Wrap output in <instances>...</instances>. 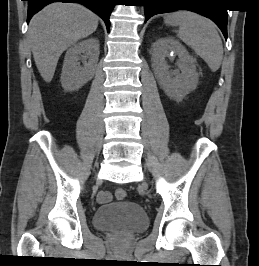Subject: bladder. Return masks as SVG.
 Returning <instances> with one entry per match:
<instances>
[{"label": "bladder", "mask_w": 259, "mask_h": 266, "mask_svg": "<svg viewBox=\"0 0 259 266\" xmlns=\"http://www.w3.org/2000/svg\"><path fill=\"white\" fill-rule=\"evenodd\" d=\"M93 221L98 229L125 233L140 232L148 226V216L143 207L131 201L99 207L94 213Z\"/></svg>", "instance_id": "1"}]
</instances>
